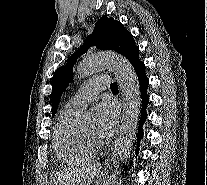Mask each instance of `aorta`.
<instances>
[{
  "instance_id": "obj_1",
  "label": "aorta",
  "mask_w": 207,
  "mask_h": 185,
  "mask_svg": "<svg viewBox=\"0 0 207 185\" xmlns=\"http://www.w3.org/2000/svg\"><path fill=\"white\" fill-rule=\"evenodd\" d=\"M104 69H110L116 75L123 100V122L103 184L120 185L122 166L130 157L135 140L141 108V93L133 66L121 55L107 52L88 55L78 63L76 71L80 77H87ZM92 120L93 115L89 112H80L76 115V124L79 127L91 125Z\"/></svg>"
}]
</instances>
